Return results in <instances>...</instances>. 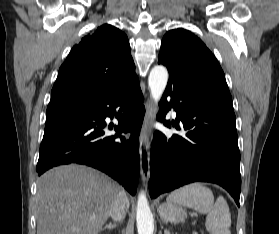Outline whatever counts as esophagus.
Returning <instances> with one entry per match:
<instances>
[{
	"label": "esophagus",
	"mask_w": 279,
	"mask_h": 234,
	"mask_svg": "<svg viewBox=\"0 0 279 234\" xmlns=\"http://www.w3.org/2000/svg\"><path fill=\"white\" fill-rule=\"evenodd\" d=\"M146 113L143 120L141 134H140V171L142 180L144 183L148 181L149 170H150V157H149V148H150V135L152 123L155 116V105L152 100L146 101Z\"/></svg>",
	"instance_id": "34e87169"
}]
</instances>
